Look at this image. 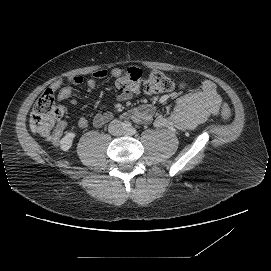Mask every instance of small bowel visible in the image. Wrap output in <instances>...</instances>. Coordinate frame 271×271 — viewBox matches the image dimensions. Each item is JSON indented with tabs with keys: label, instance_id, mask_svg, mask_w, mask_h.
<instances>
[{
	"label": "small bowel",
	"instance_id": "c3829d8e",
	"mask_svg": "<svg viewBox=\"0 0 271 271\" xmlns=\"http://www.w3.org/2000/svg\"><path fill=\"white\" fill-rule=\"evenodd\" d=\"M121 69L113 68L111 75L115 78L121 76ZM107 76L106 70H98L93 73V78L87 81V86L94 89L98 86L99 81ZM83 77L72 75L65 79H58L52 83L50 88L57 92L58 101L69 100L71 104H76L77 100L73 96V88L83 83ZM187 87L186 83L181 84V88ZM132 93L121 91L118 96L119 101H127L131 98ZM221 97L218 93L217 86L210 80H205L200 89L190 92L184 96L175 99L170 113L167 115H158L154 117L155 109L151 105H142L134 108L124 114V117L134 121L147 124L151 121L159 128H174L179 131L192 130L204 123L209 117L219 113ZM113 115L110 112H101L94 115L92 124L95 127H102L111 121ZM89 120L81 117L77 123L78 128H86ZM61 130L54 134L53 140L57 142Z\"/></svg>",
	"mask_w": 271,
	"mask_h": 271
}]
</instances>
